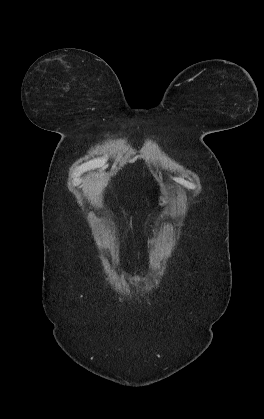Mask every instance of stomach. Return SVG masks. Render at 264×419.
I'll list each match as a JSON object with an SVG mask.
<instances>
[{
  "label": "stomach",
  "instance_id": "stomach-1",
  "mask_svg": "<svg viewBox=\"0 0 264 419\" xmlns=\"http://www.w3.org/2000/svg\"><path fill=\"white\" fill-rule=\"evenodd\" d=\"M168 200H167V196L166 193L163 192L162 194L159 195L158 197V204L160 206H165L167 204Z\"/></svg>",
  "mask_w": 264,
  "mask_h": 419
}]
</instances>
